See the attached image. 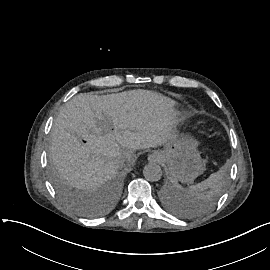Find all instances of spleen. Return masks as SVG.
Returning a JSON list of instances; mask_svg holds the SVG:
<instances>
[{"label":"spleen","mask_w":270,"mask_h":270,"mask_svg":"<svg viewBox=\"0 0 270 270\" xmlns=\"http://www.w3.org/2000/svg\"><path fill=\"white\" fill-rule=\"evenodd\" d=\"M226 172L223 169L212 173L206 180L191 186L187 189L180 185H175V197L181 199L184 207L196 208V202L199 201L201 192L208 188H219L225 182ZM194 203V205H192Z\"/></svg>","instance_id":"spleen-1"}]
</instances>
